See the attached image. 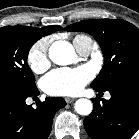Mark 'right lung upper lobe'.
Wrapping results in <instances>:
<instances>
[{"label":"right lung upper lobe","instance_id":"obj_1","mask_svg":"<svg viewBox=\"0 0 139 139\" xmlns=\"http://www.w3.org/2000/svg\"><path fill=\"white\" fill-rule=\"evenodd\" d=\"M11 27L21 28V29H24L26 31L32 32L35 35L39 36L40 38L42 36H46V35H49V34L55 32V31L63 29L60 26H46L43 28H33V27H26V26H11Z\"/></svg>","mask_w":139,"mask_h":139}]
</instances>
